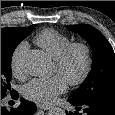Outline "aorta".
Segmentation results:
<instances>
[{
    "label": "aorta",
    "instance_id": "762f6f07",
    "mask_svg": "<svg viewBox=\"0 0 115 115\" xmlns=\"http://www.w3.org/2000/svg\"><path fill=\"white\" fill-rule=\"evenodd\" d=\"M25 71L36 77L47 75L49 70V62L45 54L38 50L30 51L23 61ZM47 115H66L65 111L59 107H53L48 111Z\"/></svg>",
    "mask_w": 115,
    "mask_h": 115
}]
</instances>
